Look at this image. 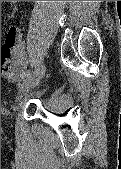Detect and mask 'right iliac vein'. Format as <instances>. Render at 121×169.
Masks as SVG:
<instances>
[{
	"label": "right iliac vein",
	"instance_id": "obj_1",
	"mask_svg": "<svg viewBox=\"0 0 121 169\" xmlns=\"http://www.w3.org/2000/svg\"><path fill=\"white\" fill-rule=\"evenodd\" d=\"M46 67L42 64L36 72L24 80V82L20 85L19 92H18V99H20L23 95H25L29 90H31L36 84H38L45 73Z\"/></svg>",
	"mask_w": 121,
	"mask_h": 169
}]
</instances>
